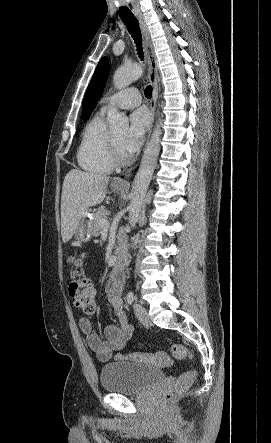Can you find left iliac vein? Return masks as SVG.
Here are the masks:
<instances>
[{
  "instance_id": "obj_1",
  "label": "left iliac vein",
  "mask_w": 271,
  "mask_h": 443,
  "mask_svg": "<svg viewBox=\"0 0 271 443\" xmlns=\"http://www.w3.org/2000/svg\"><path fill=\"white\" fill-rule=\"evenodd\" d=\"M133 307H134L135 315L138 318V320L143 325H148L149 324V316H148V313H147V310L145 309V307H143L139 303H134Z\"/></svg>"
}]
</instances>
